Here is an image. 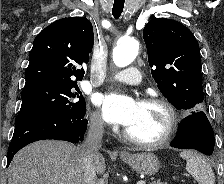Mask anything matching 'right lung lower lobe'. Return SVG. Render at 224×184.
I'll return each mask as SVG.
<instances>
[{
	"label": "right lung lower lobe",
	"mask_w": 224,
	"mask_h": 184,
	"mask_svg": "<svg viewBox=\"0 0 224 184\" xmlns=\"http://www.w3.org/2000/svg\"><path fill=\"white\" fill-rule=\"evenodd\" d=\"M84 116L42 115L15 126L8 148L7 167L15 153L29 143L43 139L65 140L72 143L82 141L87 127V119Z\"/></svg>",
	"instance_id": "right-lung-lower-lobe-1"
}]
</instances>
